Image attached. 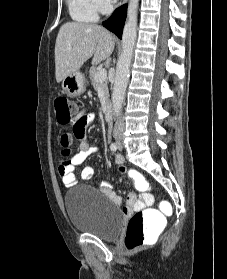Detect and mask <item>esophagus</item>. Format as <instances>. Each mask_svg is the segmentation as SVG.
Returning <instances> with one entry per match:
<instances>
[{
    "label": "esophagus",
    "mask_w": 227,
    "mask_h": 279,
    "mask_svg": "<svg viewBox=\"0 0 227 279\" xmlns=\"http://www.w3.org/2000/svg\"><path fill=\"white\" fill-rule=\"evenodd\" d=\"M126 0H120L118 6H121Z\"/></svg>",
    "instance_id": "esophagus-1"
}]
</instances>
